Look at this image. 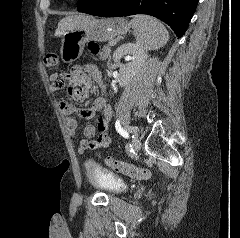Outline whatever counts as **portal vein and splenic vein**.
Masks as SVG:
<instances>
[{
  "label": "portal vein and splenic vein",
  "mask_w": 240,
  "mask_h": 238,
  "mask_svg": "<svg viewBox=\"0 0 240 238\" xmlns=\"http://www.w3.org/2000/svg\"><path fill=\"white\" fill-rule=\"evenodd\" d=\"M115 44H116L115 42H111V43H110L111 46H114Z\"/></svg>",
  "instance_id": "obj_1"
}]
</instances>
